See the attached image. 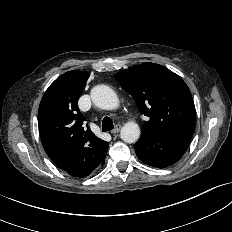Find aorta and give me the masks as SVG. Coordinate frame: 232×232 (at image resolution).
Segmentation results:
<instances>
[{
    "label": "aorta",
    "mask_w": 232,
    "mask_h": 232,
    "mask_svg": "<svg viewBox=\"0 0 232 232\" xmlns=\"http://www.w3.org/2000/svg\"><path fill=\"white\" fill-rule=\"evenodd\" d=\"M92 102L104 110L115 109L119 105V99L115 91L106 85H97L91 90ZM121 139L126 143H134L140 137V128L135 122H128L120 132Z\"/></svg>",
    "instance_id": "762f6f07"
}]
</instances>
